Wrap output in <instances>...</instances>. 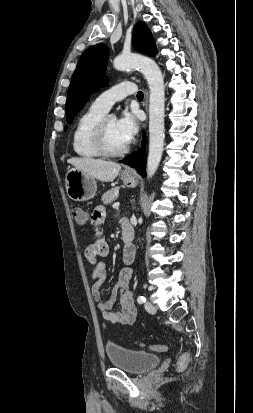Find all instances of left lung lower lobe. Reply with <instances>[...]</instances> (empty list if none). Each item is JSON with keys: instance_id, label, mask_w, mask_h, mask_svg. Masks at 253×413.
Here are the masks:
<instances>
[{"instance_id": "1", "label": "left lung lower lobe", "mask_w": 253, "mask_h": 413, "mask_svg": "<svg viewBox=\"0 0 253 413\" xmlns=\"http://www.w3.org/2000/svg\"><path fill=\"white\" fill-rule=\"evenodd\" d=\"M146 154L144 151V142L142 143V148L138 152H134L131 155L125 157L119 162L129 165L136 169V171L143 177L146 175L145 162Z\"/></svg>"}]
</instances>
